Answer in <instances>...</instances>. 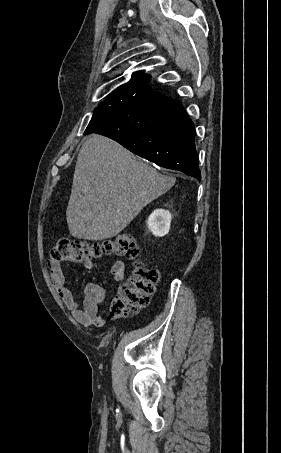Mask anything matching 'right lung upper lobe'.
I'll return each mask as SVG.
<instances>
[{
	"label": "right lung upper lobe",
	"mask_w": 281,
	"mask_h": 453,
	"mask_svg": "<svg viewBox=\"0 0 281 453\" xmlns=\"http://www.w3.org/2000/svg\"><path fill=\"white\" fill-rule=\"evenodd\" d=\"M149 78L150 76L146 75L144 71L134 72L129 82L111 92L107 96L105 102L99 107H110L122 101H130L143 94L149 93L151 91L150 86H148Z\"/></svg>",
	"instance_id": "obj_1"
}]
</instances>
